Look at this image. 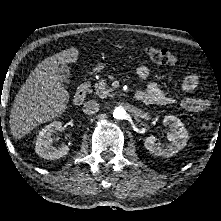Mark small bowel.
<instances>
[{
	"instance_id": "1",
	"label": "small bowel",
	"mask_w": 221,
	"mask_h": 221,
	"mask_svg": "<svg viewBox=\"0 0 221 221\" xmlns=\"http://www.w3.org/2000/svg\"><path fill=\"white\" fill-rule=\"evenodd\" d=\"M136 73L139 78L146 79L150 70L146 65H140ZM199 84V77L196 74L187 75L181 85V92L188 94L194 91ZM136 99L145 105H168L177 101L175 97L167 95L158 84L150 83L145 90L138 91ZM180 105L190 112H202L211 104L209 99L197 98L192 96H182L178 99Z\"/></svg>"
}]
</instances>
